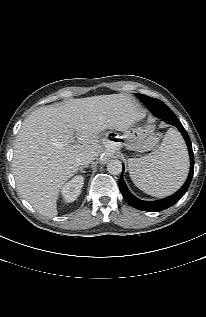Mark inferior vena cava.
<instances>
[{"label":"inferior vena cava","instance_id":"inferior-vena-cava-1","mask_svg":"<svg viewBox=\"0 0 206 317\" xmlns=\"http://www.w3.org/2000/svg\"><path fill=\"white\" fill-rule=\"evenodd\" d=\"M95 157H96L95 153L86 152V153L80 154L76 158V160L79 165H88L92 160L95 159Z\"/></svg>","mask_w":206,"mask_h":317}]
</instances>
